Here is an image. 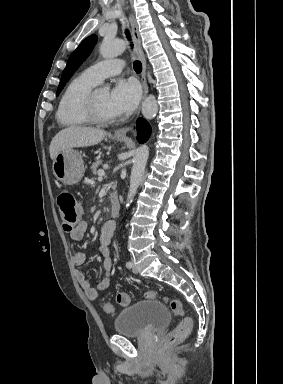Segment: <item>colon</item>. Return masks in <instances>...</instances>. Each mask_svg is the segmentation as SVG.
Here are the masks:
<instances>
[{
    "mask_svg": "<svg viewBox=\"0 0 283 384\" xmlns=\"http://www.w3.org/2000/svg\"><path fill=\"white\" fill-rule=\"evenodd\" d=\"M57 205L63 228L66 231H72L81 219V212L75 197L68 191H62L58 194ZM145 297L153 300L158 297V293L155 290H149L145 293ZM116 301L118 304L125 306L130 302V296L125 292H120L116 296ZM164 301L169 305L173 314L182 317L180 323L163 339V345L170 347L180 343L189 335L193 321L190 317L185 315L186 312L180 300L164 297ZM102 309L107 314L114 311V307L110 302H104L102 304Z\"/></svg>",
    "mask_w": 283,
    "mask_h": 384,
    "instance_id": "1",
    "label": "colon"
}]
</instances>
